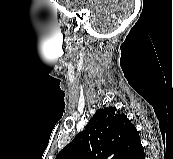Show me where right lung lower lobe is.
<instances>
[{"mask_svg":"<svg viewBox=\"0 0 173 159\" xmlns=\"http://www.w3.org/2000/svg\"><path fill=\"white\" fill-rule=\"evenodd\" d=\"M131 159H145L144 149H142L139 153H137Z\"/></svg>","mask_w":173,"mask_h":159,"instance_id":"right-lung-lower-lobe-1","label":"right lung lower lobe"}]
</instances>
